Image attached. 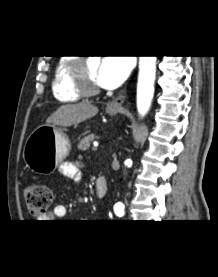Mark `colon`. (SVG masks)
Masks as SVG:
<instances>
[{"label": "colon", "mask_w": 218, "mask_h": 277, "mask_svg": "<svg viewBox=\"0 0 218 277\" xmlns=\"http://www.w3.org/2000/svg\"><path fill=\"white\" fill-rule=\"evenodd\" d=\"M25 201L28 211L33 215H43L53 201V192L44 184H31L25 190Z\"/></svg>", "instance_id": "colon-1"}]
</instances>
